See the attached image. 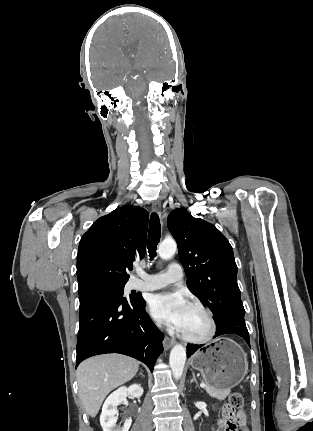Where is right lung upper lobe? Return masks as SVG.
<instances>
[{
	"instance_id": "obj_1",
	"label": "right lung upper lobe",
	"mask_w": 313,
	"mask_h": 431,
	"mask_svg": "<svg viewBox=\"0 0 313 431\" xmlns=\"http://www.w3.org/2000/svg\"><path fill=\"white\" fill-rule=\"evenodd\" d=\"M148 217L143 208L124 205L93 223L78 248L79 294L126 284V269L146 252Z\"/></svg>"
}]
</instances>
